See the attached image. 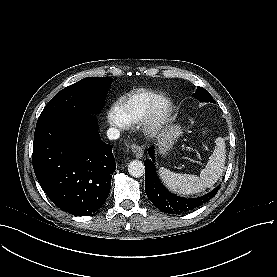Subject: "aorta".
I'll return each mask as SVG.
<instances>
[{
    "instance_id": "obj_1",
    "label": "aorta",
    "mask_w": 277,
    "mask_h": 277,
    "mask_svg": "<svg viewBox=\"0 0 277 277\" xmlns=\"http://www.w3.org/2000/svg\"><path fill=\"white\" fill-rule=\"evenodd\" d=\"M128 172L132 177L139 178L145 173V166L142 161L133 160L128 165Z\"/></svg>"
}]
</instances>
